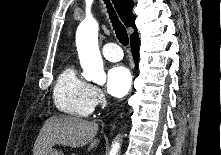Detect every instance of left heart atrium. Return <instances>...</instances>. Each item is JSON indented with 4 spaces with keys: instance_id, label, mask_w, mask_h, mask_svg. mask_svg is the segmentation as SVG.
Returning a JSON list of instances; mask_svg holds the SVG:
<instances>
[{
    "instance_id": "39dd6f15",
    "label": "left heart atrium",
    "mask_w": 221,
    "mask_h": 155,
    "mask_svg": "<svg viewBox=\"0 0 221 155\" xmlns=\"http://www.w3.org/2000/svg\"><path fill=\"white\" fill-rule=\"evenodd\" d=\"M132 77L130 71L121 65L112 67L107 73V91L113 97L125 96L131 87Z\"/></svg>"
}]
</instances>
